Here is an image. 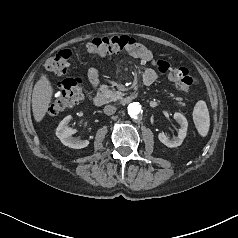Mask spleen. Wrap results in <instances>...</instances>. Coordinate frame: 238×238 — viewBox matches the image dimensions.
<instances>
[{
    "instance_id": "3e777b00",
    "label": "spleen",
    "mask_w": 238,
    "mask_h": 238,
    "mask_svg": "<svg viewBox=\"0 0 238 238\" xmlns=\"http://www.w3.org/2000/svg\"><path fill=\"white\" fill-rule=\"evenodd\" d=\"M193 121L200 136L206 137L210 127V116L206 102L199 100L193 110Z\"/></svg>"
}]
</instances>
